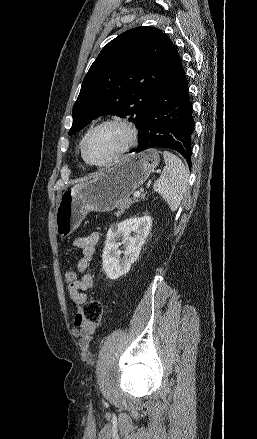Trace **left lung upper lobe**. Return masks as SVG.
<instances>
[{
	"mask_svg": "<svg viewBox=\"0 0 257 439\" xmlns=\"http://www.w3.org/2000/svg\"><path fill=\"white\" fill-rule=\"evenodd\" d=\"M177 56L172 41L153 27H136L110 41L83 80L69 135L109 114L128 116L139 139L142 120Z\"/></svg>",
	"mask_w": 257,
	"mask_h": 439,
	"instance_id": "5c2ea615",
	"label": "left lung upper lobe"
}]
</instances>
